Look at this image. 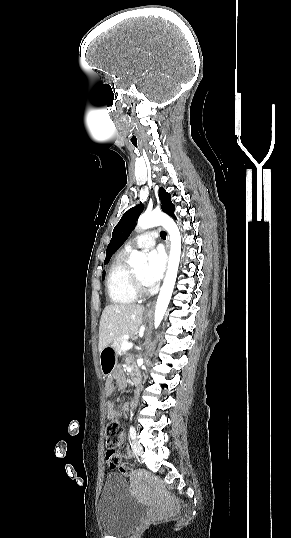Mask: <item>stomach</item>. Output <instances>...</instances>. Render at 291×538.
Wrapping results in <instances>:
<instances>
[{
	"label": "stomach",
	"instance_id": "stomach-1",
	"mask_svg": "<svg viewBox=\"0 0 291 538\" xmlns=\"http://www.w3.org/2000/svg\"><path fill=\"white\" fill-rule=\"evenodd\" d=\"M118 354L113 346L105 347L100 351V368L104 376H109L115 370Z\"/></svg>",
	"mask_w": 291,
	"mask_h": 538
}]
</instances>
